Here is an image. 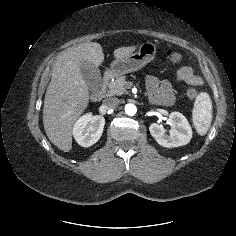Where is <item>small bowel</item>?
I'll use <instances>...</instances> for the list:
<instances>
[{
    "label": "small bowel",
    "instance_id": "c3829d8e",
    "mask_svg": "<svg viewBox=\"0 0 236 236\" xmlns=\"http://www.w3.org/2000/svg\"><path fill=\"white\" fill-rule=\"evenodd\" d=\"M178 78L191 85H200L202 80L189 66H183L178 70ZM146 87L150 100L159 105L169 106L174 102V92L171 84L149 75L146 78Z\"/></svg>",
    "mask_w": 236,
    "mask_h": 236
}]
</instances>
